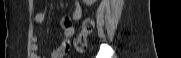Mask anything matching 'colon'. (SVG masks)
<instances>
[{
	"instance_id": "1",
	"label": "colon",
	"mask_w": 181,
	"mask_h": 58,
	"mask_svg": "<svg viewBox=\"0 0 181 58\" xmlns=\"http://www.w3.org/2000/svg\"><path fill=\"white\" fill-rule=\"evenodd\" d=\"M93 29V22L87 19L83 22L81 32L73 39V46L78 52L84 51L87 44V36Z\"/></svg>"
}]
</instances>
